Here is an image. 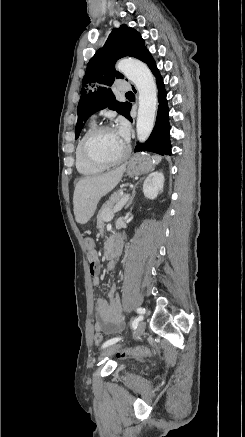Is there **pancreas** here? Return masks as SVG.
<instances>
[{
	"instance_id": "pancreas-1",
	"label": "pancreas",
	"mask_w": 245,
	"mask_h": 437,
	"mask_svg": "<svg viewBox=\"0 0 245 437\" xmlns=\"http://www.w3.org/2000/svg\"><path fill=\"white\" fill-rule=\"evenodd\" d=\"M123 196L122 190L114 192L99 211L97 215V228L100 230L101 235L104 233V222L107 215L113 211V208L121 201Z\"/></svg>"
}]
</instances>
